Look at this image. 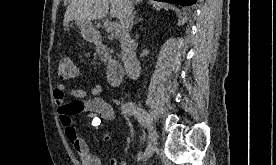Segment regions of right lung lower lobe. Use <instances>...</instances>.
<instances>
[{
  "instance_id": "1",
  "label": "right lung lower lobe",
  "mask_w": 276,
  "mask_h": 165,
  "mask_svg": "<svg viewBox=\"0 0 276 165\" xmlns=\"http://www.w3.org/2000/svg\"><path fill=\"white\" fill-rule=\"evenodd\" d=\"M156 1H165L169 3H175L181 6H186V5L194 4L197 0H156Z\"/></svg>"
}]
</instances>
